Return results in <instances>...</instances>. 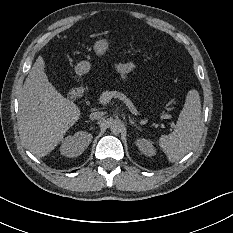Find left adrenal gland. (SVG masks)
<instances>
[{
    "instance_id": "left-adrenal-gland-1",
    "label": "left adrenal gland",
    "mask_w": 233,
    "mask_h": 233,
    "mask_svg": "<svg viewBox=\"0 0 233 233\" xmlns=\"http://www.w3.org/2000/svg\"><path fill=\"white\" fill-rule=\"evenodd\" d=\"M129 122L130 124L134 125L137 129L141 130V128L138 127L137 124L132 119H129Z\"/></svg>"
}]
</instances>
